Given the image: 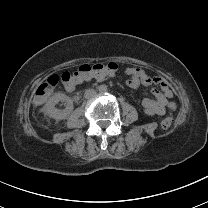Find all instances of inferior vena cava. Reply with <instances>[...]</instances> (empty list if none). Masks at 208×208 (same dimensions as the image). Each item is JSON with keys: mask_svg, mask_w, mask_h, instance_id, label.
Listing matches in <instances>:
<instances>
[{"mask_svg": "<svg viewBox=\"0 0 208 208\" xmlns=\"http://www.w3.org/2000/svg\"><path fill=\"white\" fill-rule=\"evenodd\" d=\"M96 91L94 89H87L84 93L86 99H90L96 96Z\"/></svg>", "mask_w": 208, "mask_h": 208, "instance_id": "602c4592", "label": "inferior vena cava"}]
</instances>
